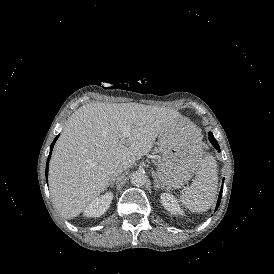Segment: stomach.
I'll use <instances>...</instances> for the list:
<instances>
[{"instance_id": "obj_1", "label": "stomach", "mask_w": 274, "mask_h": 274, "mask_svg": "<svg viewBox=\"0 0 274 274\" xmlns=\"http://www.w3.org/2000/svg\"><path fill=\"white\" fill-rule=\"evenodd\" d=\"M199 144L202 146L199 130L188 119L177 133L171 129L169 136H159L157 145L162 157L156 175L163 188H181L190 180L198 169L195 155L198 150H194V145Z\"/></svg>"}]
</instances>
